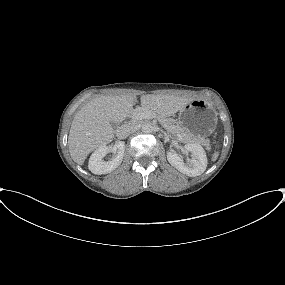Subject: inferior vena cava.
<instances>
[{"label":"inferior vena cava","mask_w":285,"mask_h":285,"mask_svg":"<svg viewBox=\"0 0 285 285\" xmlns=\"http://www.w3.org/2000/svg\"><path fill=\"white\" fill-rule=\"evenodd\" d=\"M134 131V125L131 123L123 124L116 130V136L119 139L127 138Z\"/></svg>","instance_id":"602c4592"}]
</instances>
